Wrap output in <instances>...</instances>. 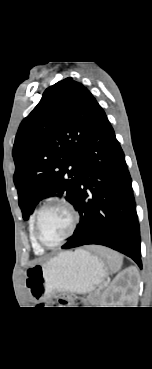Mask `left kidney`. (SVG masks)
Here are the masks:
<instances>
[{
    "mask_svg": "<svg viewBox=\"0 0 152 369\" xmlns=\"http://www.w3.org/2000/svg\"><path fill=\"white\" fill-rule=\"evenodd\" d=\"M139 274L136 268L131 267L124 270L116 278L111 287L105 290L101 297L102 307H118L124 301L128 300V290H137L139 285Z\"/></svg>",
    "mask_w": 152,
    "mask_h": 369,
    "instance_id": "left-kidney-1",
    "label": "left kidney"
}]
</instances>
